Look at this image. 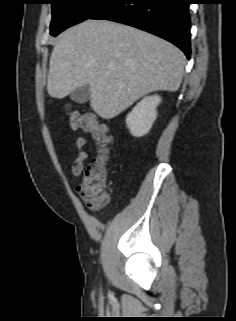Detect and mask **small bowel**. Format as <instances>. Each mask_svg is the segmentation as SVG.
Here are the masks:
<instances>
[{"label": "small bowel", "mask_w": 236, "mask_h": 321, "mask_svg": "<svg viewBox=\"0 0 236 321\" xmlns=\"http://www.w3.org/2000/svg\"><path fill=\"white\" fill-rule=\"evenodd\" d=\"M85 144H86L85 138L81 137L76 140L78 154H77V156L72 164V167H71L72 174L76 177L80 176L81 173L83 172L84 162L88 157L87 153L83 150V147ZM88 208L92 211H96L98 209V208H92L90 206H88Z\"/></svg>", "instance_id": "1"}]
</instances>
